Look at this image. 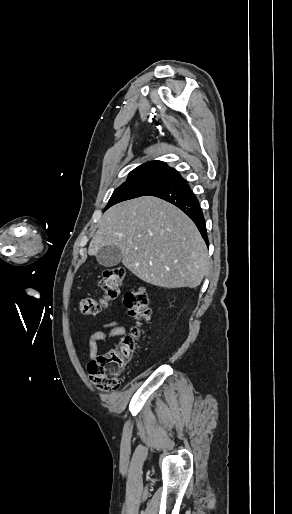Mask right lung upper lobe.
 Returning <instances> with one entry per match:
<instances>
[{"mask_svg":"<svg viewBox=\"0 0 292 514\" xmlns=\"http://www.w3.org/2000/svg\"><path fill=\"white\" fill-rule=\"evenodd\" d=\"M148 172H165L170 175L177 173V171L174 168L167 166V164L162 161H149L135 168L133 171L130 172V174Z\"/></svg>","mask_w":292,"mask_h":514,"instance_id":"1","label":"right lung upper lobe"}]
</instances>
